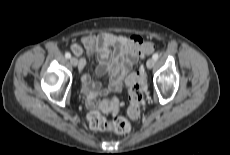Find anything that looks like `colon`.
<instances>
[{
  "instance_id": "colon-1",
  "label": "colon",
  "mask_w": 230,
  "mask_h": 155,
  "mask_svg": "<svg viewBox=\"0 0 230 155\" xmlns=\"http://www.w3.org/2000/svg\"><path fill=\"white\" fill-rule=\"evenodd\" d=\"M133 47L139 54H149L153 51V44L143 41L141 38L134 39ZM130 86L128 115L132 119L140 116L142 106L144 104V79L141 73L131 74L127 78ZM119 102L113 98L109 101L111 110H117ZM88 123L92 129L99 131H114L119 134L128 133L131 130V124L123 117H115L111 122L107 121L100 113L91 112L88 115Z\"/></svg>"
}]
</instances>
